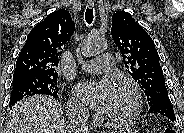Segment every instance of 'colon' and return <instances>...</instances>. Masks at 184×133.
<instances>
[{"mask_svg": "<svg viewBox=\"0 0 184 133\" xmlns=\"http://www.w3.org/2000/svg\"><path fill=\"white\" fill-rule=\"evenodd\" d=\"M163 132L164 133H173L174 131L172 129H170V128H166V129H164Z\"/></svg>", "mask_w": 184, "mask_h": 133, "instance_id": "5ec220e1", "label": "colon"}]
</instances>
